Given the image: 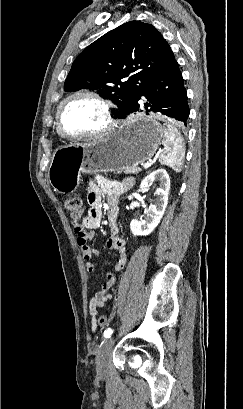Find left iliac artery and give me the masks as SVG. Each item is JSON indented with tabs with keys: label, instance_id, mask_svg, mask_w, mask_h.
Listing matches in <instances>:
<instances>
[{
	"label": "left iliac artery",
	"instance_id": "1",
	"mask_svg": "<svg viewBox=\"0 0 243 409\" xmlns=\"http://www.w3.org/2000/svg\"><path fill=\"white\" fill-rule=\"evenodd\" d=\"M113 330L111 328H108L107 330H105L104 332V338H110V336L112 335Z\"/></svg>",
	"mask_w": 243,
	"mask_h": 409
}]
</instances>
